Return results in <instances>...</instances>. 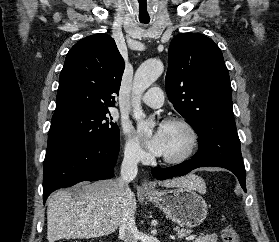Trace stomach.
<instances>
[{
	"label": "stomach",
	"mask_w": 279,
	"mask_h": 242,
	"mask_svg": "<svg viewBox=\"0 0 279 242\" xmlns=\"http://www.w3.org/2000/svg\"><path fill=\"white\" fill-rule=\"evenodd\" d=\"M147 198L181 227L199 226L207 216V203L195 189L177 187L147 193Z\"/></svg>",
	"instance_id": "0dacf381"
}]
</instances>
